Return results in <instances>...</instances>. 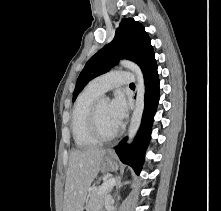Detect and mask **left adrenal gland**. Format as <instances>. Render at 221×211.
<instances>
[{"instance_id": "left-adrenal-gland-1", "label": "left adrenal gland", "mask_w": 221, "mask_h": 211, "mask_svg": "<svg viewBox=\"0 0 221 211\" xmlns=\"http://www.w3.org/2000/svg\"><path fill=\"white\" fill-rule=\"evenodd\" d=\"M128 182H124V183H122L121 182V178L120 177H118V179H117V182L115 183V187H116V191L118 192V190L123 186V185H125V184H127Z\"/></svg>"}]
</instances>
